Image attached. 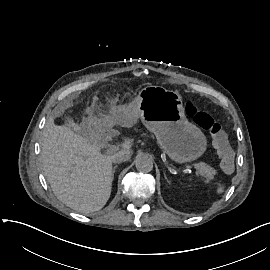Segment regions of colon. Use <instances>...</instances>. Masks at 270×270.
<instances>
[{
  "mask_svg": "<svg viewBox=\"0 0 270 270\" xmlns=\"http://www.w3.org/2000/svg\"><path fill=\"white\" fill-rule=\"evenodd\" d=\"M186 110L194 123L209 133L213 145L222 157V170L226 174H231L235 170L232 148L221 125L208 113L198 110L195 106H191V104L187 105Z\"/></svg>",
  "mask_w": 270,
  "mask_h": 270,
  "instance_id": "1",
  "label": "colon"
}]
</instances>
